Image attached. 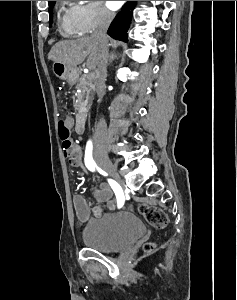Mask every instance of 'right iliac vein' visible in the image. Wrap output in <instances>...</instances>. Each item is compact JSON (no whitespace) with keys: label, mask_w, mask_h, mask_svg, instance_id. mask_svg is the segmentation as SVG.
<instances>
[{"label":"right iliac vein","mask_w":237,"mask_h":300,"mask_svg":"<svg viewBox=\"0 0 237 300\" xmlns=\"http://www.w3.org/2000/svg\"><path fill=\"white\" fill-rule=\"evenodd\" d=\"M95 157L98 165L122 185V181L119 178L117 169L106 153V148L98 147L95 152Z\"/></svg>","instance_id":"right-iliac-vein-1"}]
</instances>
